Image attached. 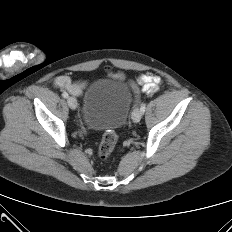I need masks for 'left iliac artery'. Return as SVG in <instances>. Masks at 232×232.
<instances>
[{
    "mask_svg": "<svg viewBox=\"0 0 232 232\" xmlns=\"http://www.w3.org/2000/svg\"><path fill=\"white\" fill-rule=\"evenodd\" d=\"M145 109H146V104H145V103H143V104L141 105V108H140V110H141L142 114H144Z\"/></svg>",
    "mask_w": 232,
    "mask_h": 232,
    "instance_id": "left-iliac-artery-1",
    "label": "left iliac artery"
}]
</instances>
